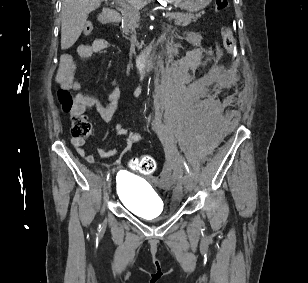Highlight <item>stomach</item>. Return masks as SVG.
Returning a JSON list of instances; mask_svg holds the SVG:
<instances>
[{"instance_id": "1", "label": "stomach", "mask_w": 308, "mask_h": 283, "mask_svg": "<svg viewBox=\"0 0 308 283\" xmlns=\"http://www.w3.org/2000/svg\"><path fill=\"white\" fill-rule=\"evenodd\" d=\"M212 0H167L187 12H197L204 9Z\"/></svg>"}]
</instances>
